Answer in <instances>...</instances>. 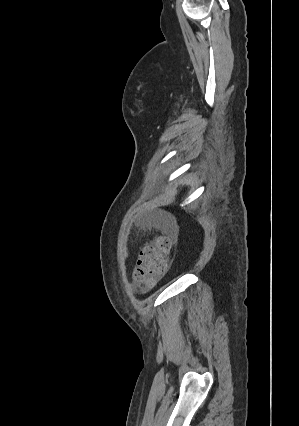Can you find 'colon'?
I'll return each instance as SVG.
<instances>
[{
	"instance_id": "colon-1",
	"label": "colon",
	"mask_w": 299,
	"mask_h": 426,
	"mask_svg": "<svg viewBox=\"0 0 299 426\" xmlns=\"http://www.w3.org/2000/svg\"><path fill=\"white\" fill-rule=\"evenodd\" d=\"M172 241L169 237H160L152 245L140 252L134 272V285L141 293L153 288L163 274L171 253Z\"/></svg>"
}]
</instances>
